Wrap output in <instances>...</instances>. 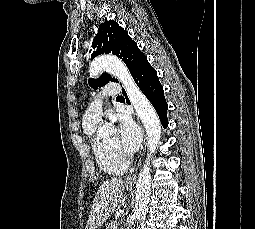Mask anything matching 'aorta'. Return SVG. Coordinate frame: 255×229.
<instances>
[{"instance_id":"762f6f07","label":"aorta","mask_w":255,"mask_h":229,"mask_svg":"<svg viewBox=\"0 0 255 229\" xmlns=\"http://www.w3.org/2000/svg\"><path fill=\"white\" fill-rule=\"evenodd\" d=\"M103 70L115 76L122 83L130 103L134 107L146 130L148 154L136 184L137 190L134 212L136 219L138 221H143L146 218L151 194L150 161L160 142L161 123L155 109L138 88L128 68L119 58L114 56H102L91 62L89 73L92 77H97ZM110 133L113 132L107 127H103L99 131L100 136L103 138Z\"/></svg>"}]
</instances>
